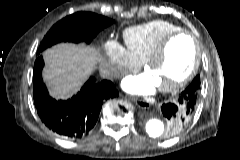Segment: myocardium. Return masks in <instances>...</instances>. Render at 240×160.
Wrapping results in <instances>:
<instances>
[{
    "instance_id": "myocardium-1",
    "label": "myocardium",
    "mask_w": 240,
    "mask_h": 160,
    "mask_svg": "<svg viewBox=\"0 0 240 160\" xmlns=\"http://www.w3.org/2000/svg\"><path fill=\"white\" fill-rule=\"evenodd\" d=\"M178 36H187L191 39L195 50L194 63L189 72L183 78L169 85L158 87L159 91L161 92H173L188 84L196 75L201 63V46L198 42V39L189 31L178 30L165 36L158 44V46L154 49V51L144 60V71H147L152 64L156 63L161 59V57L166 51L168 44Z\"/></svg>"
}]
</instances>
